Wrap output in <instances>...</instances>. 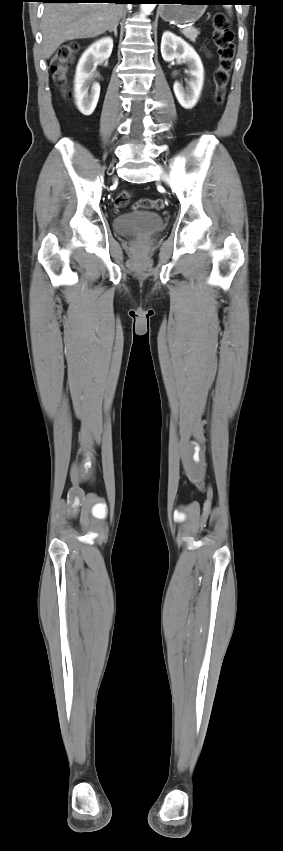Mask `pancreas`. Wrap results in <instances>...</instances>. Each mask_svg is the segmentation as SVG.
Segmentation results:
<instances>
[{
	"instance_id": "1",
	"label": "pancreas",
	"mask_w": 283,
	"mask_h": 851,
	"mask_svg": "<svg viewBox=\"0 0 283 851\" xmlns=\"http://www.w3.org/2000/svg\"><path fill=\"white\" fill-rule=\"evenodd\" d=\"M181 32H182V34H183V35H184L187 39H189L191 42H195V41H196L197 36L200 34L199 30H197V29H195V28H187V29H183Z\"/></svg>"
}]
</instances>
